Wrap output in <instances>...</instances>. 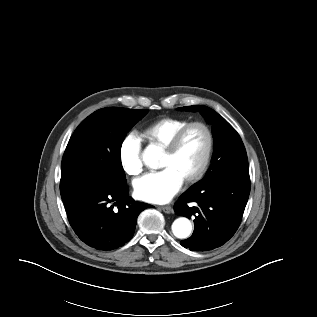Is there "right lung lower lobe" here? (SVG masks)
Instances as JSON below:
<instances>
[{
    "label": "right lung lower lobe",
    "instance_id": "1",
    "mask_svg": "<svg viewBox=\"0 0 317 317\" xmlns=\"http://www.w3.org/2000/svg\"><path fill=\"white\" fill-rule=\"evenodd\" d=\"M125 182L99 179L64 199L67 217L78 237L98 250H112L128 242L138 215L151 205L128 196ZM117 208L111 206V203Z\"/></svg>",
    "mask_w": 317,
    "mask_h": 317
}]
</instances>
